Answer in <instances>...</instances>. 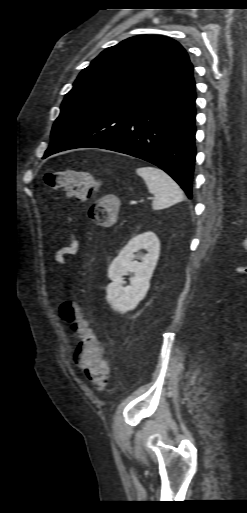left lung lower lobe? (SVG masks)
Listing matches in <instances>:
<instances>
[{
	"label": "left lung lower lobe",
	"mask_w": 247,
	"mask_h": 513,
	"mask_svg": "<svg viewBox=\"0 0 247 513\" xmlns=\"http://www.w3.org/2000/svg\"><path fill=\"white\" fill-rule=\"evenodd\" d=\"M195 81L181 72L74 134L46 154L95 147L128 154L167 172L192 198L195 162Z\"/></svg>",
	"instance_id": "obj_1"
}]
</instances>
